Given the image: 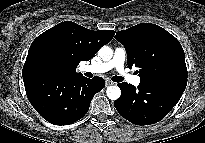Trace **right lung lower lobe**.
I'll use <instances>...</instances> for the list:
<instances>
[{"mask_svg": "<svg viewBox=\"0 0 205 143\" xmlns=\"http://www.w3.org/2000/svg\"><path fill=\"white\" fill-rule=\"evenodd\" d=\"M22 75L28 100L45 120L55 125L81 119L94 95L105 87L101 77L88 79L40 66H30Z\"/></svg>", "mask_w": 205, "mask_h": 143, "instance_id": "98d812e1", "label": "right lung lower lobe"}]
</instances>
